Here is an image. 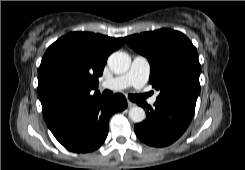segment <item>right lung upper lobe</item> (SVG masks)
<instances>
[{
    "mask_svg": "<svg viewBox=\"0 0 245 170\" xmlns=\"http://www.w3.org/2000/svg\"><path fill=\"white\" fill-rule=\"evenodd\" d=\"M124 44L88 32H72L54 42L44 54L38 73V95L50 130L70 114L101 97L96 91L108 56Z\"/></svg>",
    "mask_w": 245,
    "mask_h": 170,
    "instance_id": "1",
    "label": "right lung upper lobe"
}]
</instances>
